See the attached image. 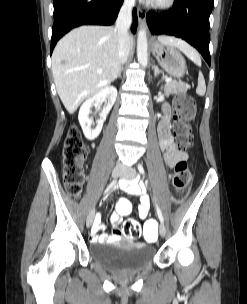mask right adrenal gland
Returning <instances> with one entry per match:
<instances>
[{
	"label": "right adrenal gland",
	"instance_id": "2a0ac1e0",
	"mask_svg": "<svg viewBox=\"0 0 247 304\" xmlns=\"http://www.w3.org/2000/svg\"><path fill=\"white\" fill-rule=\"evenodd\" d=\"M121 74H122V69H120V71L118 72V74H117V76L114 78V80L117 79V78H121ZM114 80H113V81H114Z\"/></svg>",
	"mask_w": 247,
	"mask_h": 304
}]
</instances>
